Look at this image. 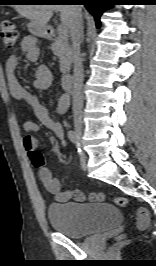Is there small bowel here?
<instances>
[{"instance_id":"c3829d8e","label":"small bowel","mask_w":156,"mask_h":266,"mask_svg":"<svg viewBox=\"0 0 156 266\" xmlns=\"http://www.w3.org/2000/svg\"><path fill=\"white\" fill-rule=\"evenodd\" d=\"M21 50L26 54L30 60L36 59L38 55V47L36 41L31 36H26L22 39L20 44ZM18 57L11 55L5 64V72L7 76L8 88L11 96L18 100L25 102L35 113L36 117L42 124L53 132V134L60 141L62 146H65V134L62 123L51 117L48 109L44 106L35 94L29 93L19 81L16 70L18 66ZM52 82V75L46 66H39L35 72V79L33 85L36 89L44 90L49 88ZM69 107V98L67 95H62L58 101V112L64 114ZM23 128L27 133L22 140V145L26 153L30 155L37 151L38 140L35 134L39 132V125L33 120H26ZM39 178L42 181L47 192L55 197L58 202H68L70 200L82 201L84 195L81 191L70 189L61 191V185L57 178H55L51 171L44 165L39 167ZM92 201H102L104 195L102 193H94L89 196Z\"/></svg>"}]
</instances>
